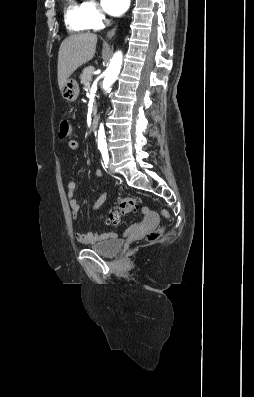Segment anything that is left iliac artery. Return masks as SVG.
Wrapping results in <instances>:
<instances>
[{
    "instance_id": "obj_1",
    "label": "left iliac artery",
    "mask_w": 254,
    "mask_h": 397,
    "mask_svg": "<svg viewBox=\"0 0 254 397\" xmlns=\"http://www.w3.org/2000/svg\"><path fill=\"white\" fill-rule=\"evenodd\" d=\"M100 151H101V155H102V159L104 161V164L107 167L108 162H109L108 150H107V148L103 147V148L100 149Z\"/></svg>"
}]
</instances>
